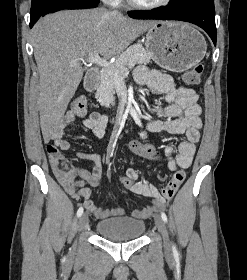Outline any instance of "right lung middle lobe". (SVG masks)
Returning a JSON list of instances; mask_svg holds the SVG:
<instances>
[{
    "label": "right lung middle lobe",
    "instance_id": "1",
    "mask_svg": "<svg viewBox=\"0 0 247 280\" xmlns=\"http://www.w3.org/2000/svg\"><path fill=\"white\" fill-rule=\"evenodd\" d=\"M61 0H32L30 18L38 17L49 5ZM99 2V0H92Z\"/></svg>",
    "mask_w": 247,
    "mask_h": 280
}]
</instances>
